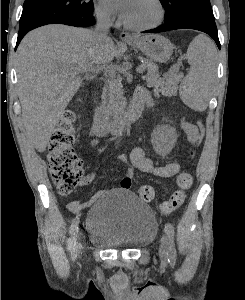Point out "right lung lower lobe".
I'll return each instance as SVG.
<instances>
[{
	"instance_id": "98d812e1",
	"label": "right lung lower lobe",
	"mask_w": 245,
	"mask_h": 300,
	"mask_svg": "<svg viewBox=\"0 0 245 300\" xmlns=\"http://www.w3.org/2000/svg\"><path fill=\"white\" fill-rule=\"evenodd\" d=\"M94 23H95V19H94V16L92 15L90 17H85V18H80V19H63V20H58V21H55V22L50 23V24H65V25L76 26V27H87V26L93 25ZM29 31H25V32L19 33L16 47L20 43L21 39Z\"/></svg>"
}]
</instances>
